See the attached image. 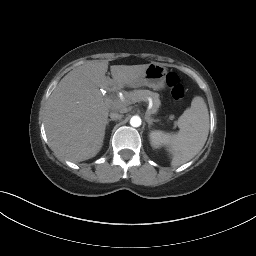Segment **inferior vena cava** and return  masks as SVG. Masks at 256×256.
I'll return each instance as SVG.
<instances>
[{"mask_svg":"<svg viewBox=\"0 0 256 256\" xmlns=\"http://www.w3.org/2000/svg\"><path fill=\"white\" fill-rule=\"evenodd\" d=\"M109 116L113 120H120L122 118V115L118 112H111Z\"/></svg>","mask_w":256,"mask_h":256,"instance_id":"602c4592","label":"inferior vena cava"}]
</instances>
